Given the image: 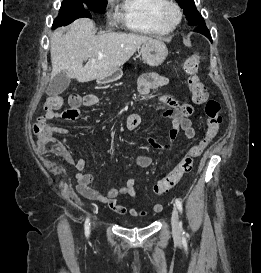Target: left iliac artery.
<instances>
[{"label": "left iliac artery", "instance_id": "1", "mask_svg": "<svg viewBox=\"0 0 261 273\" xmlns=\"http://www.w3.org/2000/svg\"><path fill=\"white\" fill-rule=\"evenodd\" d=\"M175 205H176V207L178 208V210L182 213V210H183V208H182V203H181V201L179 200V199H175ZM185 232L183 231V234H184Z\"/></svg>", "mask_w": 261, "mask_h": 273}]
</instances>
